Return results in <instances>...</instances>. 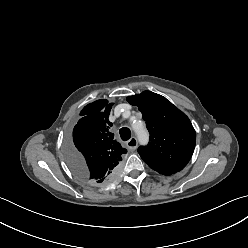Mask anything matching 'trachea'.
Returning a JSON list of instances; mask_svg holds the SVG:
<instances>
[{
    "label": "trachea",
    "instance_id": "obj_1",
    "mask_svg": "<svg viewBox=\"0 0 248 248\" xmlns=\"http://www.w3.org/2000/svg\"><path fill=\"white\" fill-rule=\"evenodd\" d=\"M119 134L123 141H127L131 137V131L127 127H123L119 130Z\"/></svg>",
    "mask_w": 248,
    "mask_h": 248
}]
</instances>
